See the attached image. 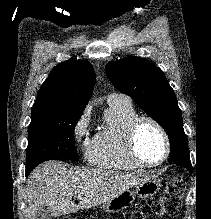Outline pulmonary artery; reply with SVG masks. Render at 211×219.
Masks as SVG:
<instances>
[{
	"label": "pulmonary artery",
	"mask_w": 211,
	"mask_h": 219,
	"mask_svg": "<svg viewBox=\"0 0 211 219\" xmlns=\"http://www.w3.org/2000/svg\"><path fill=\"white\" fill-rule=\"evenodd\" d=\"M120 99H126V98L122 97L121 95H118V94L114 93V94L109 95L108 102L115 101V100H120ZM126 100H128V99H126Z\"/></svg>",
	"instance_id": "1"
}]
</instances>
